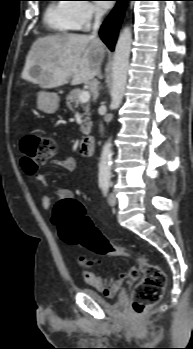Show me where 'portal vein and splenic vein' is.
Returning <instances> with one entry per match:
<instances>
[{
  "instance_id": "portal-vein-and-splenic-vein-1",
  "label": "portal vein and splenic vein",
  "mask_w": 193,
  "mask_h": 349,
  "mask_svg": "<svg viewBox=\"0 0 193 349\" xmlns=\"http://www.w3.org/2000/svg\"><path fill=\"white\" fill-rule=\"evenodd\" d=\"M90 99V93L89 91H82L79 95V101L80 102H87Z\"/></svg>"
}]
</instances>
